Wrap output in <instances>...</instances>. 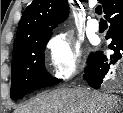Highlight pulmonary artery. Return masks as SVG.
I'll list each match as a JSON object with an SVG mask.
<instances>
[{"instance_id":"obj_1","label":"pulmonary artery","mask_w":123,"mask_h":113,"mask_svg":"<svg viewBox=\"0 0 123 113\" xmlns=\"http://www.w3.org/2000/svg\"><path fill=\"white\" fill-rule=\"evenodd\" d=\"M88 28L90 31L92 32H97L100 28V25H99V22L97 19L95 18H91L89 21H88Z\"/></svg>"}]
</instances>
